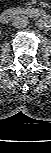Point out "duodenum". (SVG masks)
Here are the masks:
<instances>
[{
  "instance_id": "1",
  "label": "duodenum",
  "mask_w": 51,
  "mask_h": 153,
  "mask_svg": "<svg viewBox=\"0 0 51 153\" xmlns=\"http://www.w3.org/2000/svg\"><path fill=\"white\" fill-rule=\"evenodd\" d=\"M46 16V12L42 8H9L2 12L1 21L9 23L16 17L40 18Z\"/></svg>"
}]
</instances>
